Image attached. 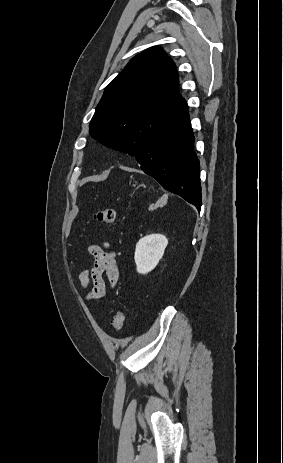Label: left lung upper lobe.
<instances>
[{
  "label": "left lung upper lobe",
  "mask_w": 283,
  "mask_h": 463,
  "mask_svg": "<svg viewBox=\"0 0 283 463\" xmlns=\"http://www.w3.org/2000/svg\"><path fill=\"white\" fill-rule=\"evenodd\" d=\"M177 88L174 62L162 48L147 49L106 87L90 122V135L135 156L154 133L187 107Z\"/></svg>",
  "instance_id": "obj_1"
}]
</instances>
